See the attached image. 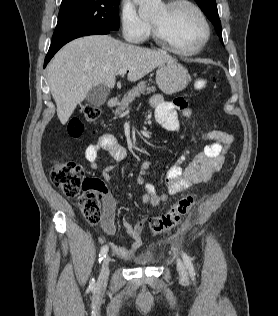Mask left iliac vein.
<instances>
[{"instance_id": "1", "label": "left iliac vein", "mask_w": 278, "mask_h": 316, "mask_svg": "<svg viewBox=\"0 0 278 316\" xmlns=\"http://www.w3.org/2000/svg\"><path fill=\"white\" fill-rule=\"evenodd\" d=\"M177 270L181 276L186 275V269H185V266L181 260L177 261Z\"/></svg>"}]
</instances>
